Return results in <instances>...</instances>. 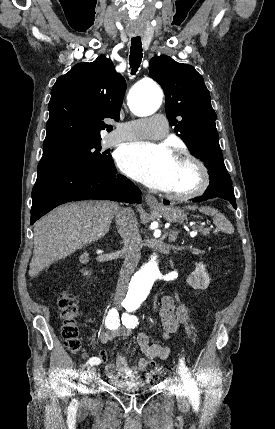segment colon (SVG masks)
Listing matches in <instances>:
<instances>
[{
    "label": "colon",
    "mask_w": 275,
    "mask_h": 429,
    "mask_svg": "<svg viewBox=\"0 0 275 429\" xmlns=\"http://www.w3.org/2000/svg\"><path fill=\"white\" fill-rule=\"evenodd\" d=\"M58 307L63 320L62 336L65 339L66 346L71 352H77L80 349V311L76 299L67 291L60 293L58 297ZM148 373L152 379H156L159 368L154 361L148 363Z\"/></svg>",
    "instance_id": "5ec220e1"
}]
</instances>
